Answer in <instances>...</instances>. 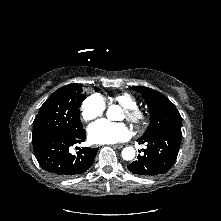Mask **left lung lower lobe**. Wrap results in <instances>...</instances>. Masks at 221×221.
Listing matches in <instances>:
<instances>
[{"instance_id":"obj_1","label":"left lung lower lobe","mask_w":221,"mask_h":221,"mask_svg":"<svg viewBox=\"0 0 221 221\" xmlns=\"http://www.w3.org/2000/svg\"><path fill=\"white\" fill-rule=\"evenodd\" d=\"M182 133L179 131H159L145 138H139V144H146L144 155H139L127 167L140 176H156L168 172L177 158Z\"/></svg>"}]
</instances>
